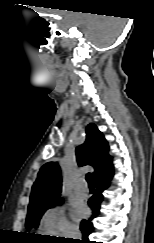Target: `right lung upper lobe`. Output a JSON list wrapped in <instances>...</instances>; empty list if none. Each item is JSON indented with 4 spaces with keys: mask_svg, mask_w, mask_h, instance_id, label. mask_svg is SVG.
<instances>
[{
    "mask_svg": "<svg viewBox=\"0 0 154 243\" xmlns=\"http://www.w3.org/2000/svg\"><path fill=\"white\" fill-rule=\"evenodd\" d=\"M109 146L103 134L95 124L86 127V141L76 148L79 166L91 165L95 171L93 179L110 171L112 159ZM62 187L61 172L58 163L48 162L42 166L32 187L28 208L59 200Z\"/></svg>",
    "mask_w": 154,
    "mask_h": 243,
    "instance_id": "1",
    "label": "right lung upper lobe"
}]
</instances>
